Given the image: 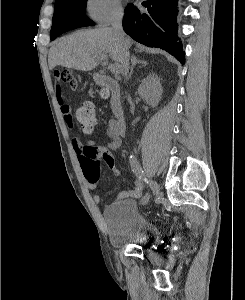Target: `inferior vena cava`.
<instances>
[{
    "label": "inferior vena cava",
    "instance_id": "inferior-vena-cava-1",
    "mask_svg": "<svg viewBox=\"0 0 245 300\" xmlns=\"http://www.w3.org/2000/svg\"><path fill=\"white\" fill-rule=\"evenodd\" d=\"M112 27L124 46L123 67H124L125 74H127L129 70V44L125 40L123 29H122V14L115 17L112 23Z\"/></svg>",
    "mask_w": 245,
    "mask_h": 300
}]
</instances>
